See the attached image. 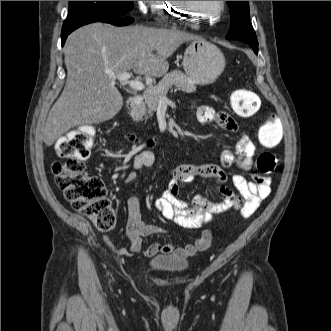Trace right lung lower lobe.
Returning a JSON list of instances; mask_svg holds the SVG:
<instances>
[{"label":"right lung lower lobe","instance_id":"1","mask_svg":"<svg viewBox=\"0 0 331 331\" xmlns=\"http://www.w3.org/2000/svg\"><path fill=\"white\" fill-rule=\"evenodd\" d=\"M134 20L130 17H120V18H108V19H102L96 22H104V23H110L112 25H116V26H126L129 25L133 22ZM74 31V30H72ZM67 32L65 34H61V39H62V46L65 43V40L67 38V36L72 32Z\"/></svg>","mask_w":331,"mask_h":331}]
</instances>
